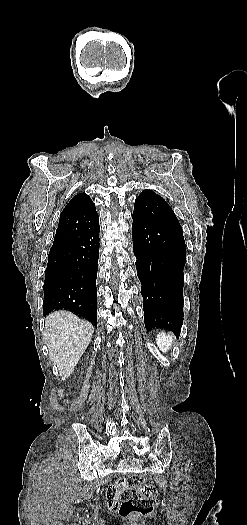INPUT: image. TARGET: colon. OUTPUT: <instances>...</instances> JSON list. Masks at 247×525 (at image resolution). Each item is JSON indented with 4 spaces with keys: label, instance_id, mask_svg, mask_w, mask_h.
I'll return each mask as SVG.
<instances>
[{
    "label": "colon",
    "instance_id": "1",
    "mask_svg": "<svg viewBox=\"0 0 247 525\" xmlns=\"http://www.w3.org/2000/svg\"><path fill=\"white\" fill-rule=\"evenodd\" d=\"M155 487L143 481L137 474L126 478V488L120 489V515L132 519L154 514Z\"/></svg>",
    "mask_w": 247,
    "mask_h": 525
}]
</instances>
